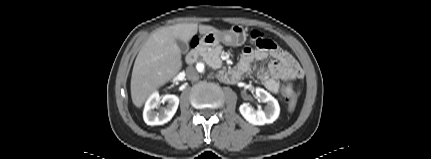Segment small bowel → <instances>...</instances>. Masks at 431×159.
Returning <instances> with one entry per match:
<instances>
[{
  "instance_id": "obj_1",
  "label": "small bowel",
  "mask_w": 431,
  "mask_h": 159,
  "mask_svg": "<svg viewBox=\"0 0 431 159\" xmlns=\"http://www.w3.org/2000/svg\"><path fill=\"white\" fill-rule=\"evenodd\" d=\"M269 60L266 68L256 67L254 62ZM238 71L253 72L263 85L273 93H279L281 82L300 78L301 69L296 60L286 51L281 49L275 42L268 38L255 42V46L246 47L242 51ZM296 104L302 101L299 95L293 98Z\"/></svg>"
}]
</instances>
